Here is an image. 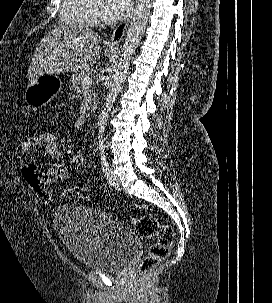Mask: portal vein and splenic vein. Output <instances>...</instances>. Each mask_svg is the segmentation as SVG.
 <instances>
[{"label":"portal vein and splenic vein","instance_id":"18ae733b","mask_svg":"<svg viewBox=\"0 0 272 303\" xmlns=\"http://www.w3.org/2000/svg\"><path fill=\"white\" fill-rule=\"evenodd\" d=\"M92 84V78L90 76H86L82 79L81 85L83 87H87Z\"/></svg>","mask_w":272,"mask_h":303}]
</instances>
